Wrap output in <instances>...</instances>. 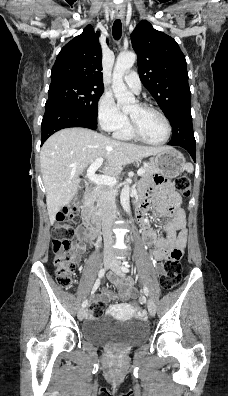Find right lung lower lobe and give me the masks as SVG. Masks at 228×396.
<instances>
[{
    "instance_id": "obj_1",
    "label": "right lung lower lobe",
    "mask_w": 228,
    "mask_h": 396,
    "mask_svg": "<svg viewBox=\"0 0 228 396\" xmlns=\"http://www.w3.org/2000/svg\"><path fill=\"white\" fill-rule=\"evenodd\" d=\"M69 127H84L94 130L97 128V119L61 103L46 104L42 120L41 145L53 133Z\"/></svg>"
}]
</instances>
